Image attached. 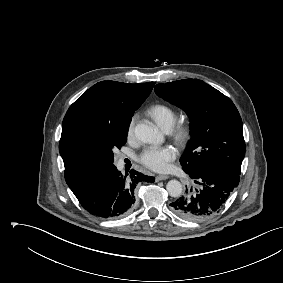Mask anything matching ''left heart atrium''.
Returning a JSON list of instances; mask_svg holds the SVG:
<instances>
[{"mask_svg": "<svg viewBox=\"0 0 283 283\" xmlns=\"http://www.w3.org/2000/svg\"><path fill=\"white\" fill-rule=\"evenodd\" d=\"M177 151L173 146L148 147L140 155L139 161L154 171H165L176 158Z\"/></svg>", "mask_w": 283, "mask_h": 283, "instance_id": "left-heart-atrium-1", "label": "left heart atrium"}]
</instances>
